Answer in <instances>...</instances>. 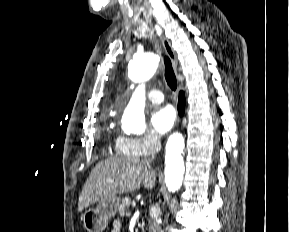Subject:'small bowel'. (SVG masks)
<instances>
[{
    "label": "small bowel",
    "instance_id": "small-bowel-1",
    "mask_svg": "<svg viewBox=\"0 0 289 232\" xmlns=\"http://www.w3.org/2000/svg\"><path fill=\"white\" fill-rule=\"evenodd\" d=\"M120 231H121V224L119 222H115L113 224L111 232H120Z\"/></svg>",
    "mask_w": 289,
    "mask_h": 232
}]
</instances>
